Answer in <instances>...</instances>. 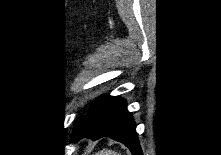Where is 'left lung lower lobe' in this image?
I'll return each instance as SVG.
<instances>
[{
    "label": "left lung lower lobe",
    "instance_id": "obj_1",
    "mask_svg": "<svg viewBox=\"0 0 221 155\" xmlns=\"http://www.w3.org/2000/svg\"><path fill=\"white\" fill-rule=\"evenodd\" d=\"M109 136L125 144L133 155H143L135 124L122 98L104 95L73 130L72 142L82 137L92 140Z\"/></svg>",
    "mask_w": 221,
    "mask_h": 155
}]
</instances>
